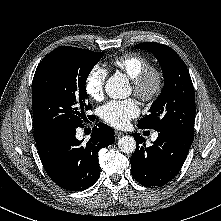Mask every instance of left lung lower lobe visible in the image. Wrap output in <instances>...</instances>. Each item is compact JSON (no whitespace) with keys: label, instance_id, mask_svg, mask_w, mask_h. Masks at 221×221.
Segmentation results:
<instances>
[{"label":"left lung lower lobe","instance_id":"obj_1","mask_svg":"<svg viewBox=\"0 0 221 221\" xmlns=\"http://www.w3.org/2000/svg\"><path fill=\"white\" fill-rule=\"evenodd\" d=\"M158 132V138L150 147H146L138 133L132 134L137 147L130 159L131 173L137 182L147 187H159L172 180L182 168L194 140L193 135L178 129Z\"/></svg>","mask_w":221,"mask_h":221}]
</instances>
